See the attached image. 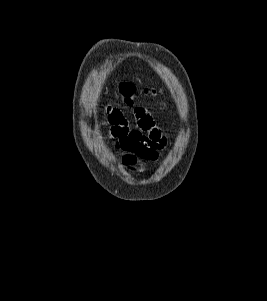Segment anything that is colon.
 <instances>
[{
	"mask_svg": "<svg viewBox=\"0 0 267 301\" xmlns=\"http://www.w3.org/2000/svg\"><path fill=\"white\" fill-rule=\"evenodd\" d=\"M119 91H120V94L122 95V97L124 98V101L126 103L132 102V100L134 99L135 94H136L135 86L131 83H122L119 86ZM144 93L146 95H152L153 96V95L156 94V90L155 89H146L144 91Z\"/></svg>",
	"mask_w": 267,
	"mask_h": 301,
	"instance_id": "obj_1",
	"label": "colon"
}]
</instances>
